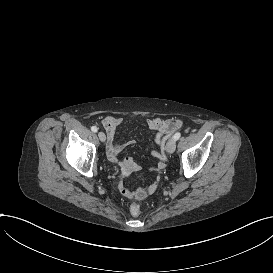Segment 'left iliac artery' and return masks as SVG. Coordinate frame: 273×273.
Segmentation results:
<instances>
[{"instance_id": "44dca946", "label": "left iliac artery", "mask_w": 273, "mask_h": 273, "mask_svg": "<svg viewBox=\"0 0 273 273\" xmlns=\"http://www.w3.org/2000/svg\"><path fill=\"white\" fill-rule=\"evenodd\" d=\"M181 134L179 132H177L174 136L173 139L176 141L180 138Z\"/></svg>"}]
</instances>
